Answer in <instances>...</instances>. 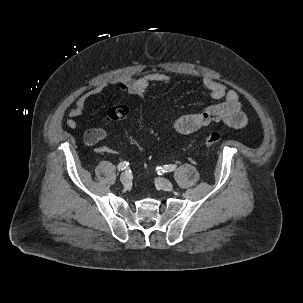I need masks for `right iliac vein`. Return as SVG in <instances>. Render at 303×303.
<instances>
[{
  "mask_svg": "<svg viewBox=\"0 0 303 303\" xmlns=\"http://www.w3.org/2000/svg\"><path fill=\"white\" fill-rule=\"evenodd\" d=\"M120 181L124 186L129 185L130 184V178H129L128 174H126V173L121 174Z\"/></svg>",
  "mask_w": 303,
  "mask_h": 303,
  "instance_id": "right-iliac-vein-1",
  "label": "right iliac vein"
}]
</instances>
